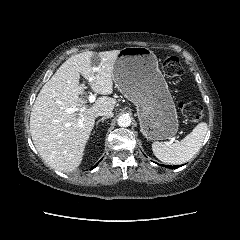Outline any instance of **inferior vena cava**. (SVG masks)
I'll return each mask as SVG.
<instances>
[{
  "instance_id": "1",
  "label": "inferior vena cava",
  "mask_w": 240,
  "mask_h": 240,
  "mask_svg": "<svg viewBox=\"0 0 240 240\" xmlns=\"http://www.w3.org/2000/svg\"><path fill=\"white\" fill-rule=\"evenodd\" d=\"M98 116H106V117H113V112L112 111H99L95 114V117Z\"/></svg>"
}]
</instances>
